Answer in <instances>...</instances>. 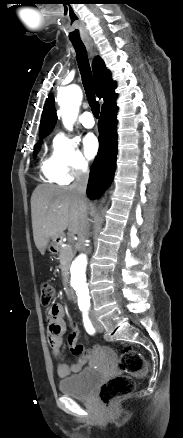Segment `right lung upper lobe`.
<instances>
[{
    "mask_svg": "<svg viewBox=\"0 0 183 438\" xmlns=\"http://www.w3.org/2000/svg\"><path fill=\"white\" fill-rule=\"evenodd\" d=\"M93 74L96 84V94L99 98L104 99L103 107L115 102L117 94L115 93L116 83L110 80L111 74L106 69L104 62L100 57H96L92 64ZM56 113L54 109L53 96H48L40 124L39 137L48 135L54 127Z\"/></svg>",
    "mask_w": 183,
    "mask_h": 438,
    "instance_id": "right-lung-upper-lobe-1",
    "label": "right lung upper lobe"
}]
</instances>
